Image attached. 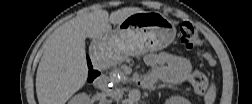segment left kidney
<instances>
[{
	"mask_svg": "<svg viewBox=\"0 0 252 104\" xmlns=\"http://www.w3.org/2000/svg\"><path fill=\"white\" fill-rule=\"evenodd\" d=\"M169 104H187L188 100L181 96H172L167 100Z\"/></svg>",
	"mask_w": 252,
	"mask_h": 104,
	"instance_id": "1",
	"label": "left kidney"
}]
</instances>
